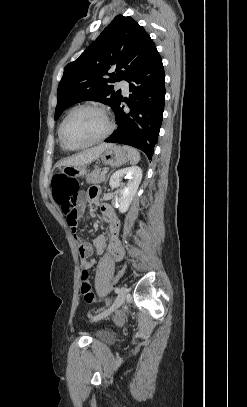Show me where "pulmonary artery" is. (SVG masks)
Here are the masks:
<instances>
[{"label": "pulmonary artery", "instance_id": "pulmonary-artery-1", "mask_svg": "<svg viewBox=\"0 0 247 407\" xmlns=\"http://www.w3.org/2000/svg\"><path fill=\"white\" fill-rule=\"evenodd\" d=\"M119 86L122 88V90H123V92L125 94H128V92H129V84H128L127 81H125V80L120 81Z\"/></svg>", "mask_w": 247, "mask_h": 407}]
</instances>
